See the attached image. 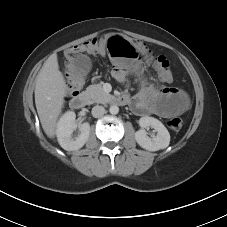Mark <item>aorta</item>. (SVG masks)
I'll return each instance as SVG.
<instances>
[{"label": "aorta", "mask_w": 227, "mask_h": 227, "mask_svg": "<svg viewBox=\"0 0 227 227\" xmlns=\"http://www.w3.org/2000/svg\"><path fill=\"white\" fill-rule=\"evenodd\" d=\"M109 112H110L112 115H116V114H118V112H119V107L116 106V105H112V106H110V108H109Z\"/></svg>", "instance_id": "762f6f07"}]
</instances>
